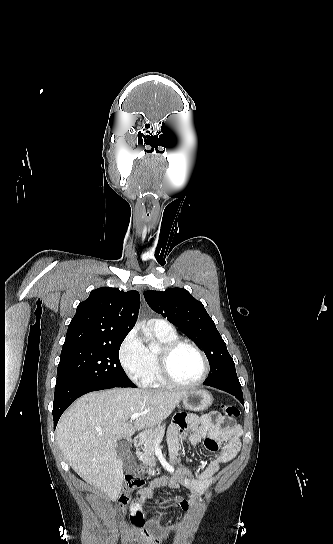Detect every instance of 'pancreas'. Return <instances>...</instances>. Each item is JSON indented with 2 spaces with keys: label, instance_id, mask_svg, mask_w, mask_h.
Returning <instances> with one entry per match:
<instances>
[{
  "label": "pancreas",
  "instance_id": "obj_1",
  "mask_svg": "<svg viewBox=\"0 0 333 544\" xmlns=\"http://www.w3.org/2000/svg\"><path fill=\"white\" fill-rule=\"evenodd\" d=\"M164 434L165 427L158 426L149 431L148 434L141 440V443L143 444V447H141L142 451L137 449L136 455L143 461V463L150 466L156 465V459L154 457L155 446L156 444L160 443L158 440L161 441Z\"/></svg>",
  "mask_w": 333,
  "mask_h": 544
}]
</instances>
